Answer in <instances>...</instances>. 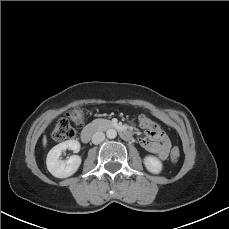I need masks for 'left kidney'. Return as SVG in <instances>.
<instances>
[{
  "mask_svg": "<svg viewBox=\"0 0 229 229\" xmlns=\"http://www.w3.org/2000/svg\"><path fill=\"white\" fill-rule=\"evenodd\" d=\"M143 162L147 170L153 174H159L162 171V162L155 156H146Z\"/></svg>",
  "mask_w": 229,
  "mask_h": 229,
  "instance_id": "obj_1",
  "label": "left kidney"
}]
</instances>
